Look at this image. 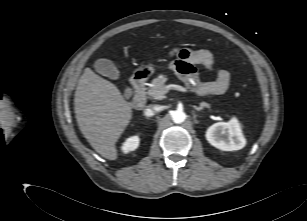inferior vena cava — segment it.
Segmentation results:
<instances>
[{"instance_id": "inferior-vena-cava-1", "label": "inferior vena cava", "mask_w": 307, "mask_h": 221, "mask_svg": "<svg viewBox=\"0 0 307 221\" xmlns=\"http://www.w3.org/2000/svg\"><path fill=\"white\" fill-rule=\"evenodd\" d=\"M158 107L157 106H149L148 108L145 109L144 114L146 116H152L154 115L155 111H158Z\"/></svg>"}]
</instances>
